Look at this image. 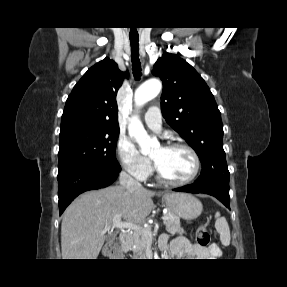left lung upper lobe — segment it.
I'll return each instance as SVG.
<instances>
[{"instance_id":"obj_1","label":"left lung upper lobe","mask_w":287,"mask_h":287,"mask_svg":"<svg viewBox=\"0 0 287 287\" xmlns=\"http://www.w3.org/2000/svg\"><path fill=\"white\" fill-rule=\"evenodd\" d=\"M152 73L163 81V117L200 158L202 171L194 183L229 187L221 114L203 78L185 60L167 52Z\"/></svg>"}]
</instances>
